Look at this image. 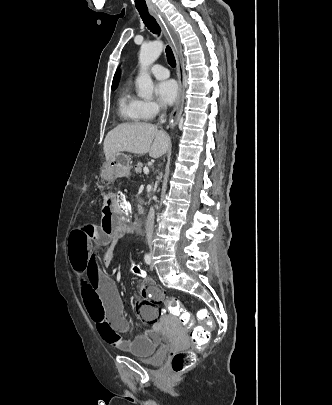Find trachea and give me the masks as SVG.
Listing matches in <instances>:
<instances>
[{"instance_id":"1","label":"trachea","mask_w":332,"mask_h":405,"mask_svg":"<svg viewBox=\"0 0 332 405\" xmlns=\"http://www.w3.org/2000/svg\"><path fill=\"white\" fill-rule=\"evenodd\" d=\"M140 17L142 18L145 26L154 34H160L161 28L155 18L149 13L148 10L146 11H140L139 10ZM166 56H167V61L171 67L176 66V60L173 54L172 49L167 46L166 47Z\"/></svg>"}]
</instances>
